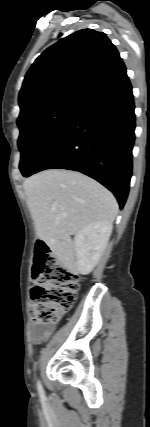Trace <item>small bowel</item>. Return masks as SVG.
Instances as JSON below:
<instances>
[{"label":"small bowel","instance_id":"1","mask_svg":"<svg viewBox=\"0 0 150 427\" xmlns=\"http://www.w3.org/2000/svg\"><path fill=\"white\" fill-rule=\"evenodd\" d=\"M51 331H52L51 328L32 326L29 332L30 340L34 344H39L48 339V337L51 334Z\"/></svg>","mask_w":150,"mask_h":427}]
</instances>
